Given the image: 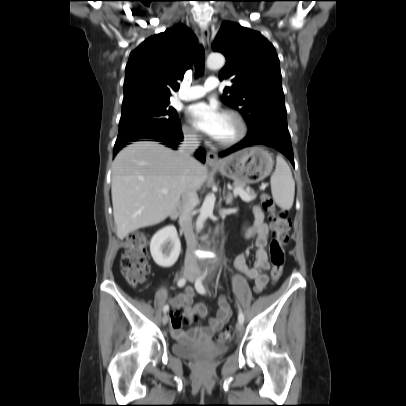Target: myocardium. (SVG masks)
<instances>
[{
	"label": "myocardium",
	"mask_w": 406,
	"mask_h": 406,
	"mask_svg": "<svg viewBox=\"0 0 406 406\" xmlns=\"http://www.w3.org/2000/svg\"><path fill=\"white\" fill-rule=\"evenodd\" d=\"M223 115L229 116L235 120L238 126V132L234 137L228 140H218L215 138V141L222 147L233 146L244 139V137L247 135L248 127L242 115L235 110L226 109L223 111Z\"/></svg>",
	"instance_id": "1"
}]
</instances>
